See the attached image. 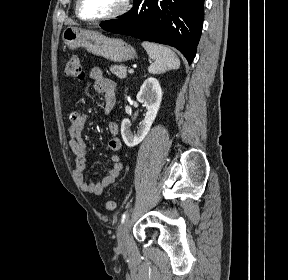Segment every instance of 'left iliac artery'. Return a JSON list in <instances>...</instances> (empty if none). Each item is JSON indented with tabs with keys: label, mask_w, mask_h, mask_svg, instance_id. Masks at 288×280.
<instances>
[{
	"label": "left iliac artery",
	"mask_w": 288,
	"mask_h": 280,
	"mask_svg": "<svg viewBox=\"0 0 288 280\" xmlns=\"http://www.w3.org/2000/svg\"><path fill=\"white\" fill-rule=\"evenodd\" d=\"M134 202H135V199L131 198L130 201L127 203L128 205L125 207V209H124L125 211H124V213L122 215V222L125 220L127 213L130 212L129 208L132 206L131 204L134 203Z\"/></svg>",
	"instance_id": "1"
}]
</instances>
